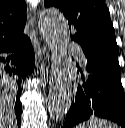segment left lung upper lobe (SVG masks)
<instances>
[{
    "label": "left lung upper lobe",
    "mask_w": 125,
    "mask_h": 128,
    "mask_svg": "<svg viewBox=\"0 0 125 128\" xmlns=\"http://www.w3.org/2000/svg\"><path fill=\"white\" fill-rule=\"evenodd\" d=\"M44 5L64 13L71 39L81 45L86 59H118L114 28L103 0H44Z\"/></svg>",
    "instance_id": "5c2ea615"
}]
</instances>
